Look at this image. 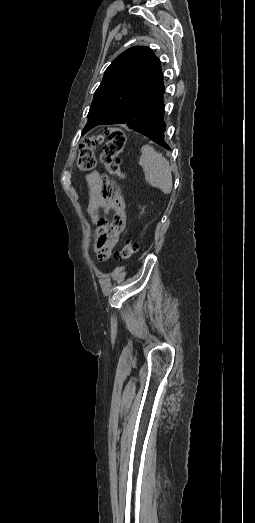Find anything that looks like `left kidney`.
Returning <instances> with one entry per match:
<instances>
[{
	"instance_id": "1",
	"label": "left kidney",
	"mask_w": 255,
	"mask_h": 523,
	"mask_svg": "<svg viewBox=\"0 0 255 523\" xmlns=\"http://www.w3.org/2000/svg\"><path fill=\"white\" fill-rule=\"evenodd\" d=\"M142 212H144V208H142Z\"/></svg>"
}]
</instances>
